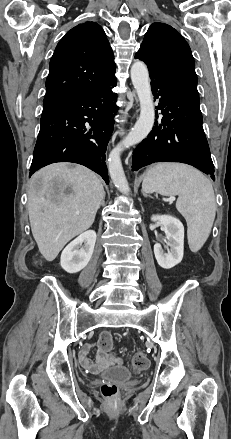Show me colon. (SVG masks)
<instances>
[{
	"label": "colon",
	"mask_w": 231,
	"mask_h": 439,
	"mask_svg": "<svg viewBox=\"0 0 231 439\" xmlns=\"http://www.w3.org/2000/svg\"><path fill=\"white\" fill-rule=\"evenodd\" d=\"M99 348L103 351H109L113 346V338L110 333H102L98 340ZM132 367L136 372L144 371L149 366V359L143 351H137L134 353L132 360ZM101 393L105 398L113 399L118 394L117 385L105 382L101 385Z\"/></svg>",
	"instance_id": "5ec220e1"
}]
</instances>
